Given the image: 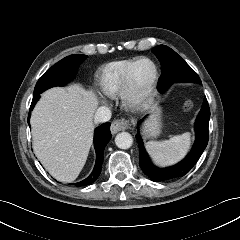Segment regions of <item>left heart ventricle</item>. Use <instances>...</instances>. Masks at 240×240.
Segmentation results:
<instances>
[{"mask_svg":"<svg viewBox=\"0 0 240 240\" xmlns=\"http://www.w3.org/2000/svg\"><path fill=\"white\" fill-rule=\"evenodd\" d=\"M153 67L149 62H141L135 70L133 81L139 88H145L151 81Z\"/></svg>","mask_w":240,"mask_h":240,"instance_id":"b2bd125f","label":"left heart ventricle"}]
</instances>
